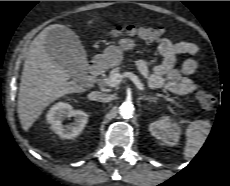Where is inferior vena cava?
I'll list each match as a JSON object with an SVG mask.
<instances>
[{"instance_id":"602c4592","label":"inferior vena cava","mask_w":230,"mask_h":186,"mask_svg":"<svg viewBox=\"0 0 230 186\" xmlns=\"http://www.w3.org/2000/svg\"><path fill=\"white\" fill-rule=\"evenodd\" d=\"M91 99L100 102H109L111 101L112 97L109 94L94 91L91 93Z\"/></svg>"}]
</instances>
